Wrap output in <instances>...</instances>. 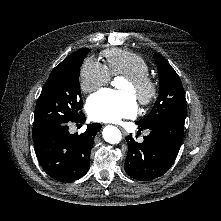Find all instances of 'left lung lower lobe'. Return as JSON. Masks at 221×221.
<instances>
[{"instance_id":"obj_1","label":"left lung lower lobe","mask_w":221,"mask_h":221,"mask_svg":"<svg viewBox=\"0 0 221 221\" xmlns=\"http://www.w3.org/2000/svg\"><path fill=\"white\" fill-rule=\"evenodd\" d=\"M184 123L185 118L182 117H171L153 123L147 127L150 134L144 136L142 143L135 142L132 135L126 137V173L138 180H151L166 173L179 152ZM138 126L140 130L146 129L139 124Z\"/></svg>"}]
</instances>
